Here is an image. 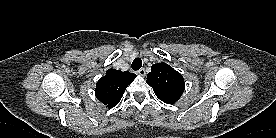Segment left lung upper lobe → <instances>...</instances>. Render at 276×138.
Returning <instances> with one entry per match:
<instances>
[{
	"label": "left lung upper lobe",
	"instance_id": "obj_1",
	"mask_svg": "<svg viewBox=\"0 0 276 138\" xmlns=\"http://www.w3.org/2000/svg\"><path fill=\"white\" fill-rule=\"evenodd\" d=\"M147 78L156 96L165 103H175L184 92L183 76L166 63L153 65Z\"/></svg>",
	"mask_w": 276,
	"mask_h": 138
}]
</instances>
